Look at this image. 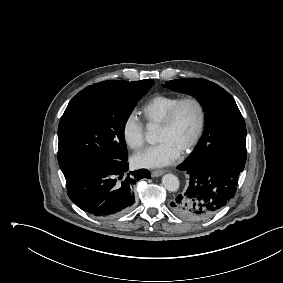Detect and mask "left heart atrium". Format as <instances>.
I'll use <instances>...</instances> for the list:
<instances>
[{
    "label": "left heart atrium",
    "mask_w": 283,
    "mask_h": 283,
    "mask_svg": "<svg viewBox=\"0 0 283 283\" xmlns=\"http://www.w3.org/2000/svg\"><path fill=\"white\" fill-rule=\"evenodd\" d=\"M181 154V150L168 141L149 146L133 156V163L142 168H159L172 164Z\"/></svg>",
    "instance_id": "1"
}]
</instances>
